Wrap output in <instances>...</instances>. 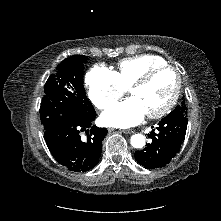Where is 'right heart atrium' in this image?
Wrapping results in <instances>:
<instances>
[{
	"label": "right heart atrium",
	"instance_id": "1",
	"mask_svg": "<svg viewBox=\"0 0 221 221\" xmlns=\"http://www.w3.org/2000/svg\"><path fill=\"white\" fill-rule=\"evenodd\" d=\"M85 82L89 99L98 109L107 108L125 92L115 73L102 65L93 66L87 72Z\"/></svg>",
	"mask_w": 221,
	"mask_h": 221
}]
</instances>
